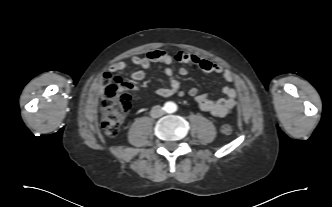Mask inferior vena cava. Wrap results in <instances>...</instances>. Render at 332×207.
<instances>
[{
    "mask_svg": "<svg viewBox=\"0 0 332 207\" xmlns=\"http://www.w3.org/2000/svg\"><path fill=\"white\" fill-rule=\"evenodd\" d=\"M164 114V111L161 106L156 105L151 109L150 115L153 118H158Z\"/></svg>",
    "mask_w": 332,
    "mask_h": 207,
    "instance_id": "1",
    "label": "inferior vena cava"
}]
</instances>
